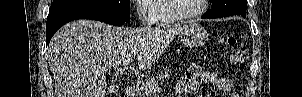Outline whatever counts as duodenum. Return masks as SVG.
<instances>
[{
	"label": "duodenum",
	"mask_w": 302,
	"mask_h": 97,
	"mask_svg": "<svg viewBox=\"0 0 302 97\" xmlns=\"http://www.w3.org/2000/svg\"><path fill=\"white\" fill-rule=\"evenodd\" d=\"M126 94L128 97H136L138 94V87L136 85H129L126 87Z\"/></svg>",
	"instance_id": "obj_1"
}]
</instances>
